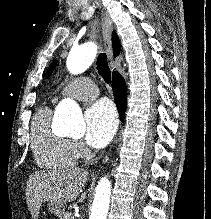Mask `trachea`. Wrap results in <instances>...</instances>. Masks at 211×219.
<instances>
[{
    "mask_svg": "<svg viewBox=\"0 0 211 219\" xmlns=\"http://www.w3.org/2000/svg\"><path fill=\"white\" fill-rule=\"evenodd\" d=\"M96 64L99 75L104 79L106 83H110L111 72L107 62V55L105 53H100Z\"/></svg>",
    "mask_w": 211,
    "mask_h": 219,
    "instance_id": "trachea-1",
    "label": "trachea"
}]
</instances>
